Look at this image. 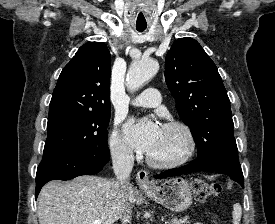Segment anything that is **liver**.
Returning a JSON list of instances; mask_svg holds the SVG:
<instances>
[{
  "label": "liver",
  "mask_w": 275,
  "mask_h": 224,
  "mask_svg": "<svg viewBox=\"0 0 275 224\" xmlns=\"http://www.w3.org/2000/svg\"><path fill=\"white\" fill-rule=\"evenodd\" d=\"M132 186L127 190L129 208L135 203ZM116 181L79 176L70 182L50 181L38 196L39 224H114L121 217Z\"/></svg>",
  "instance_id": "6515ba94"
}]
</instances>
